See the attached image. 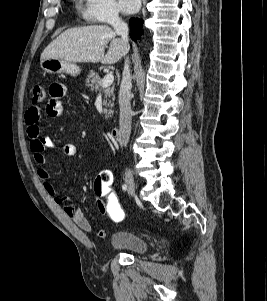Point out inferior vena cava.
I'll return each mask as SVG.
<instances>
[{"label": "inferior vena cava", "mask_w": 267, "mask_h": 301, "mask_svg": "<svg viewBox=\"0 0 267 301\" xmlns=\"http://www.w3.org/2000/svg\"><path fill=\"white\" fill-rule=\"evenodd\" d=\"M115 32L121 36L122 41L128 45V25L123 22L117 14L111 17L110 21ZM128 58L125 60L124 70L122 74V81L119 91V107H120V134L122 138V143L126 147L130 138L131 133V120L132 111L130 104V92L132 88L131 74L128 65Z\"/></svg>", "instance_id": "obj_1"}]
</instances>
